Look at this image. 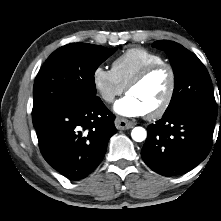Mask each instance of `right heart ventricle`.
Returning a JSON list of instances; mask_svg holds the SVG:
<instances>
[{"instance_id":"1","label":"right heart ventricle","mask_w":221,"mask_h":221,"mask_svg":"<svg viewBox=\"0 0 221 221\" xmlns=\"http://www.w3.org/2000/svg\"><path fill=\"white\" fill-rule=\"evenodd\" d=\"M160 62H164V59L159 54L146 48L132 47L114 59L111 70L117 80L126 87L129 81L143 68Z\"/></svg>"}]
</instances>
